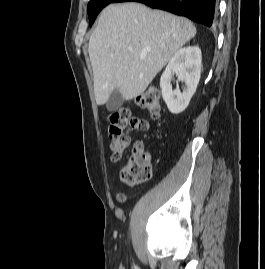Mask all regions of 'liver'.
Listing matches in <instances>:
<instances>
[{
  "label": "liver",
  "instance_id": "obj_1",
  "mask_svg": "<svg viewBox=\"0 0 265 269\" xmlns=\"http://www.w3.org/2000/svg\"><path fill=\"white\" fill-rule=\"evenodd\" d=\"M196 35L191 21L139 3L107 6L89 40L94 93L105 104L118 89L141 95L175 53Z\"/></svg>",
  "mask_w": 265,
  "mask_h": 269
}]
</instances>
